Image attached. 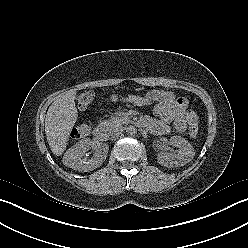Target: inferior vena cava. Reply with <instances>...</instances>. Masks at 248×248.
Instances as JSON below:
<instances>
[{"mask_svg": "<svg viewBox=\"0 0 248 248\" xmlns=\"http://www.w3.org/2000/svg\"><path fill=\"white\" fill-rule=\"evenodd\" d=\"M122 131H123V129L121 127H117V128H114L110 131V135L118 136L121 134Z\"/></svg>", "mask_w": 248, "mask_h": 248, "instance_id": "1", "label": "inferior vena cava"}]
</instances>
